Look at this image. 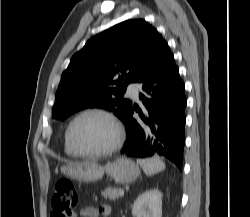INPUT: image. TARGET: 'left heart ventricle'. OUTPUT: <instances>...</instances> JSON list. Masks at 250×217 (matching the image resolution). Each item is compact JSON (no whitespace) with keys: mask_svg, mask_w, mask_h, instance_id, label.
Instances as JSON below:
<instances>
[{"mask_svg":"<svg viewBox=\"0 0 250 217\" xmlns=\"http://www.w3.org/2000/svg\"><path fill=\"white\" fill-rule=\"evenodd\" d=\"M114 133L109 121L100 115H87L79 119L73 128V140L83 152L101 151L113 142Z\"/></svg>","mask_w":250,"mask_h":217,"instance_id":"b2bd125f","label":"left heart ventricle"}]
</instances>
